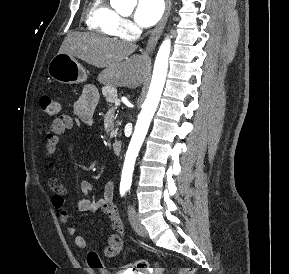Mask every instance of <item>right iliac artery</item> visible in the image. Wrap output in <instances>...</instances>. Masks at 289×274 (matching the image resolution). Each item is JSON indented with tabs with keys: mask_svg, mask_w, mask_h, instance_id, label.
<instances>
[{
	"mask_svg": "<svg viewBox=\"0 0 289 274\" xmlns=\"http://www.w3.org/2000/svg\"><path fill=\"white\" fill-rule=\"evenodd\" d=\"M125 192H126V189H125V188H120V194H121V196H124Z\"/></svg>",
	"mask_w": 289,
	"mask_h": 274,
	"instance_id": "1",
	"label": "right iliac artery"
}]
</instances>
